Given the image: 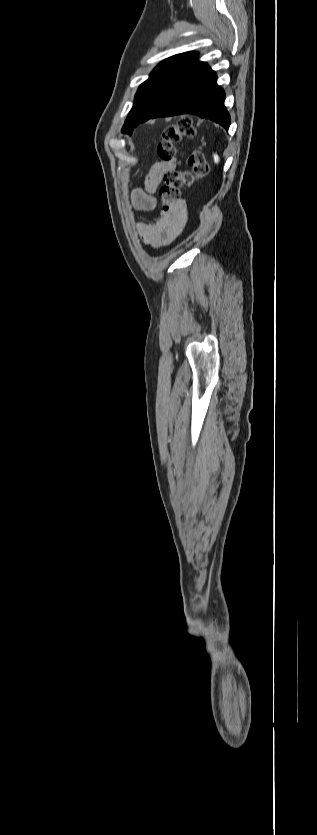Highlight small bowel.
<instances>
[{"mask_svg": "<svg viewBox=\"0 0 317 835\" xmlns=\"http://www.w3.org/2000/svg\"><path fill=\"white\" fill-rule=\"evenodd\" d=\"M176 161L160 160L150 168L144 182V187H135L130 192L132 206L143 212H151L156 208L154 196L163 176L176 169ZM186 210L181 203L170 211L161 213L160 218L153 224L139 223L137 230L143 243L153 248H161L171 244L183 231L186 224Z\"/></svg>", "mask_w": 317, "mask_h": 835, "instance_id": "1", "label": "small bowel"}]
</instances>
